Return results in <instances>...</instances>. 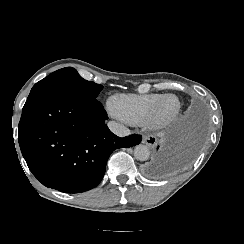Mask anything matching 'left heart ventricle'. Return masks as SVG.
Segmentation results:
<instances>
[{
  "label": "left heart ventricle",
  "mask_w": 244,
  "mask_h": 244,
  "mask_svg": "<svg viewBox=\"0 0 244 244\" xmlns=\"http://www.w3.org/2000/svg\"><path fill=\"white\" fill-rule=\"evenodd\" d=\"M175 105V100L173 98H167L163 102L164 109H170Z\"/></svg>",
  "instance_id": "b2bd125f"
}]
</instances>
